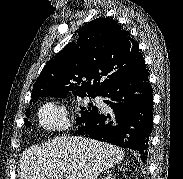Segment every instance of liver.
<instances>
[{
    "mask_svg": "<svg viewBox=\"0 0 183 179\" xmlns=\"http://www.w3.org/2000/svg\"><path fill=\"white\" fill-rule=\"evenodd\" d=\"M124 152L83 137H57L27 149L21 159V179H97L119 163Z\"/></svg>",
    "mask_w": 183,
    "mask_h": 179,
    "instance_id": "6515ba94",
    "label": "liver"
}]
</instances>
